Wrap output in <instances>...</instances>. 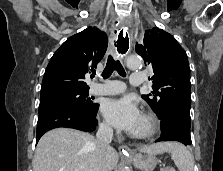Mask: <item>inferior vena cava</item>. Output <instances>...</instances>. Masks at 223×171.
I'll return each mask as SVG.
<instances>
[{"mask_svg": "<svg viewBox=\"0 0 223 171\" xmlns=\"http://www.w3.org/2000/svg\"><path fill=\"white\" fill-rule=\"evenodd\" d=\"M113 129L108 124H100L96 134V151L94 158L93 171H107L104 160V151L111 143Z\"/></svg>", "mask_w": 223, "mask_h": 171, "instance_id": "inferior-vena-cava-1", "label": "inferior vena cava"}]
</instances>
